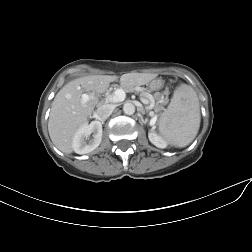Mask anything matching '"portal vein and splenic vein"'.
Here are the masks:
<instances>
[{"label":"portal vein and splenic vein","mask_w":252,"mask_h":252,"mask_svg":"<svg viewBox=\"0 0 252 252\" xmlns=\"http://www.w3.org/2000/svg\"><path fill=\"white\" fill-rule=\"evenodd\" d=\"M126 97V94L124 92L123 89H117L113 95H108L106 100L107 101H110V102H121L125 99ZM95 98V96L93 94H87V93H84L82 95V102L85 103L86 101H88L89 99H93ZM141 101L143 103H147V101L144 99V98H141ZM150 115L153 116L154 113L153 112H150ZM153 121L155 122L156 121V117H153Z\"/></svg>","instance_id":"portal-vein-and-splenic-vein-1"}]
</instances>
